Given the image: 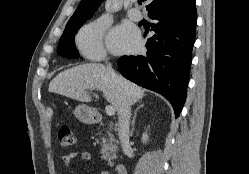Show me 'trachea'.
I'll use <instances>...</instances> for the list:
<instances>
[{
  "label": "trachea",
  "mask_w": 249,
  "mask_h": 174,
  "mask_svg": "<svg viewBox=\"0 0 249 174\" xmlns=\"http://www.w3.org/2000/svg\"><path fill=\"white\" fill-rule=\"evenodd\" d=\"M142 1H143V0H138V3H139V4H142Z\"/></svg>",
  "instance_id": "trachea-1"
}]
</instances>
